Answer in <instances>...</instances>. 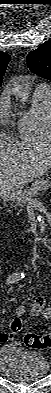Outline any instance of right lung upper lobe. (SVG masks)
Listing matches in <instances>:
<instances>
[{"mask_svg": "<svg viewBox=\"0 0 51 393\" xmlns=\"http://www.w3.org/2000/svg\"><path fill=\"white\" fill-rule=\"evenodd\" d=\"M10 59L11 57L7 53L0 51V85Z\"/></svg>", "mask_w": 51, "mask_h": 393, "instance_id": "cb5924a9", "label": "right lung upper lobe"}]
</instances>
